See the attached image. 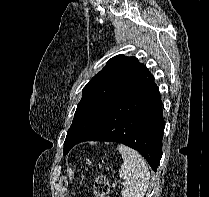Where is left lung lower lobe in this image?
I'll return each mask as SVG.
<instances>
[{"instance_id": "obj_1", "label": "left lung lower lobe", "mask_w": 209, "mask_h": 197, "mask_svg": "<svg viewBox=\"0 0 209 197\" xmlns=\"http://www.w3.org/2000/svg\"><path fill=\"white\" fill-rule=\"evenodd\" d=\"M164 119L159 88L149 74L118 97L77 142L125 144L145 157L157 171Z\"/></svg>"}]
</instances>
